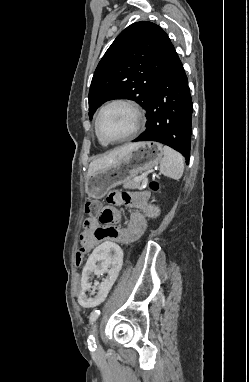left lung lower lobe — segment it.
Here are the masks:
<instances>
[{"mask_svg": "<svg viewBox=\"0 0 249 382\" xmlns=\"http://www.w3.org/2000/svg\"><path fill=\"white\" fill-rule=\"evenodd\" d=\"M147 127L134 140L156 141L190 158L192 98L182 63L175 54L146 109Z\"/></svg>", "mask_w": 249, "mask_h": 382, "instance_id": "obj_1", "label": "left lung lower lobe"}]
</instances>
